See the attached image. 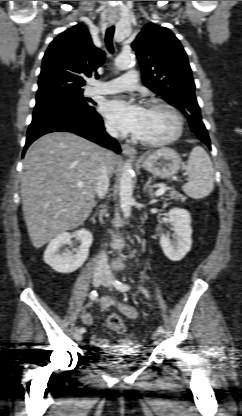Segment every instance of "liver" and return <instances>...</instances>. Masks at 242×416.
<instances>
[{"label": "liver", "instance_id": "obj_1", "mask_svg": "<svg viewBox=\"0 0 242 416\" xmlns=\"http://www.w3.org/2000/svg\"><path fill=\"white\" fill-rule=\"evenodd\" d=\"M106 153L109 172H113L116 154L70 132L48 133L29 147L23 161L21 193L25 223L35 248L88 218Z\"/></svg>", "mask_w": 242, "mask_h": 416}]
</instances>
